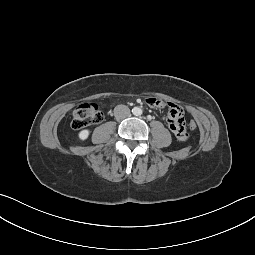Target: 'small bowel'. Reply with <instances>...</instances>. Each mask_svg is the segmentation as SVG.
<instances>
[{"label":"small bowel","instance_id":"1","mask_svg":"<svg viewBox=\"0 0 255 255\" xmlns=\"http://www.w3.org/2000/svg\"><path fill=\"white\" fill-rule=\"evenodd\" d=\"M143 103L164 111L165 127L172 137L180 142H187L190 139L185 111L173 100L161 99L157 95H146L143 98Z\"/></svg>","mask_w":255,"mask_h":255}]
</instances>
